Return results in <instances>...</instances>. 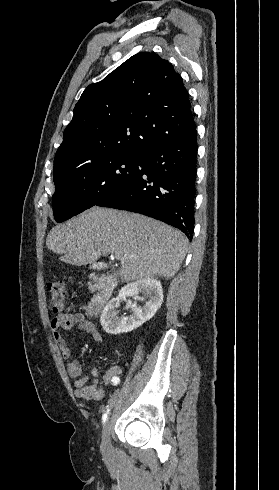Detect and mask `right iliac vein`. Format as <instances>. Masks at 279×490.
<instances>
[{
  "instance_id": "obj_1",
  "label": "right iliac vein",
  "mask_w": 279,
  "mask_h": 490,
  "mask_svg": "<svg viewBox=\"0 0 279 490\" xmlns=\"http://www.w3.org/2000/svg\"><path fill=\"white\" fill-rule=\"evenodd\" d=\"M117 393H115L108 401L109 403V416L107 421L103 427L102 436H101V451L103 455L108 457L112 453L111 442H110V426L112 422L111 411L114 407V403L117 397Z\"/></svg>"
}]
</instances>
